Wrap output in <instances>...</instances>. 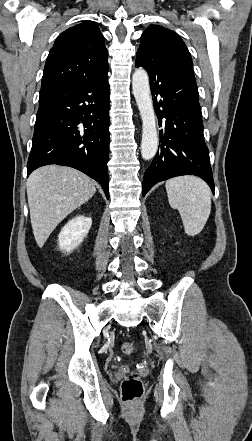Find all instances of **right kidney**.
Wrapping results in <instances>:
<instances>
[{"label":"right kidney","instance_id":"right-kidney-1","mask_svg":"<svg viewBox=\"0 0 252 441\" xmlns=\"http://www.w3.org/2000/svg\"><path fill=\"white\" fill-rule=\"evenodd\" d=\"M92 225V219L79 215L69 220L59 233L60 250L71 252L78 247L87 236Z\"/></svg>","mask_w":252,"mask_h":441}]
</instances>
